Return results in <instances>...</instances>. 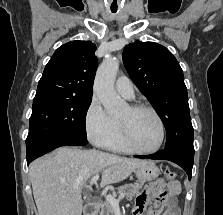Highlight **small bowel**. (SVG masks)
<instances>
[{
    "label": "small bowel",
    "mask_w": 223,
    "mask_h": 215,
    "mask_svg": "<svg viewBox=\"0 0 223 215\" xmlns=\"http://www.w3.org/2000/svg\"><path fill=\"white\" fill-rule=\"evenodd\" d=\"M180 193V183L175 180H156L148 184L137 196L133 208L134 215H143L149 202H156L165 207L162 215H178L176 195ZM148 215H160V211Z\"/></svg>",
    "instance_id": "1"
}]
</instances>
